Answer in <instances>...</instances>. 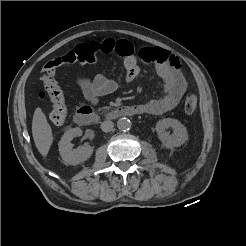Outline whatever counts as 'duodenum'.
Returning a JSON list of instances; mask_svg holds the SVG:
<instances>
[{"label": "duodenum", "mask_w": 246, "mask_h": 246, "mask_svg": "<svg viewBox=\"0 0 246 246\" xmlns=\"http://www.w3.org/2000/svg\"><path fill=\"white\" fill-rule=\"evenodd\" d=\"M142 113V108L139 105H125L114 108L106 116L110 119L133 116ZM100 116L89 106L80 107L75 115L74 121L80 126H88L99 121Z\"/></svg>", "instance_id": "obj_1"}]
</instances>
